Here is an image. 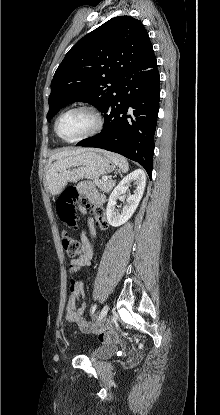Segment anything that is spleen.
<instances>
[{"instance_id": "spleen-1", "label": "spleen", "mask_w": 220, "mask_h": 415, "mask_svg": "<svg viewBox=\"0 0 220 415\" xmlns=\"http://www.w3.org/2000/svg\"><path fill=\"white\" fill-rule=\"evenodd\" d=\"M103 154L106 157H108L115 165H117L123 173L128 171L129 164H128V161L125 157H123V156H121L117 153H112V152H109V151H104Z\"/></svg>"}]
</instances>
